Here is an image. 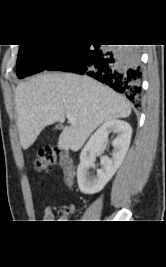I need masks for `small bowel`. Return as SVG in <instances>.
Masks as SVG:
<instances>
[{"instance_id":"1","label":"small bowel","mask_w":166,"mask_h":267,"mask_svg":"<svg viewBox=\"0 0 166 267\" xmlns=\"http://www.w3.org/2000/svg\"><path fill=\"white\" fill-rule=\"evenodd\" d=\"M73 181L68 183V185H72ZM56 219L55 213L53 211V209L50 206H47L44 209V213H43V220L44 222H54V220Z\"/></svg>"}]
</instances>
